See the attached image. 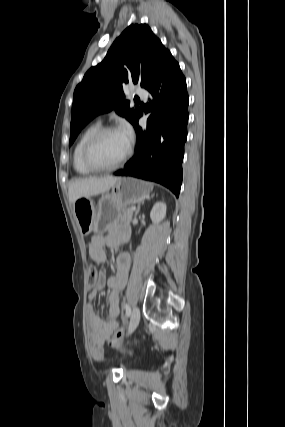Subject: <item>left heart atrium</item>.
Instances as JSON below:
<instances>
[{
	"instance_id": "39dd6f15",
	"label": "left heart atrium",
	"mask_w": 285,
	"mask_h": 427,
	"mask_svg": "<svg viewBox=\"0 0 285 427\" xmlns=\"http://www.w3.org/2000/svg\"><path fill=\"white\" fill-rule=\"evenodd\" d=\"M123 136L124 138L127 140V142L130 144L133 140V130L131 128V126L124 122L120 125L119 130H118Z\"/></svg>"
}]
</instances>
